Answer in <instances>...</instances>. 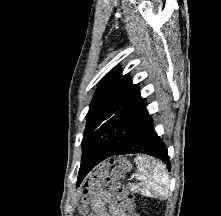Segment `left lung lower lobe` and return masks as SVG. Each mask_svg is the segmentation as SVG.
Segmentation results:
<instances>
[{
    "label": "left lung lower lobe",
    "instance_id": "1",
    "mask_svg": "<svg viewBox=\"0 0 221 216\" xmlns=\"http://www.w3.org/2000/svg\"><path fill=\"white\" fill-rule=\"evenodd\" d=\"M143 153L161 159L170 170L167 148L154 131L153 122L149 116L140 126L134 136L119 150L114 151L107 145L95 146L82 154L78 173L79 185L83 178L100 162L113 155Z\"/></svg>",
    "mask_w": 221,
    "mask_h": 216
}]
</instances>
